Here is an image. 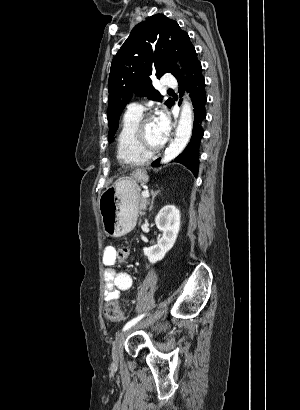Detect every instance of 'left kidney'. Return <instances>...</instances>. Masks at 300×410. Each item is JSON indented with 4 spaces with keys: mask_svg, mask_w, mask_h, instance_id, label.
I'll list each match as a JSON object with an SVG mask.
<instances>
[{
    "mask_svg": "<svg viewBox=\"0 0 300 410\" xmlns=\"http://www.w3.org/2000/svg\"><path fill=\"white\" fill-rule=\"evenodd\" d=\"M180 211L174 205L164 206L155 218L157 228L163 231L157 244L144 247V255L150 263L162 260L166 253L174 246L180 230Z\"/></svg>",
    "mask_w": 300,
    "mask_h": 410,
    "instance_id": "left-kidney-1",
    "label": "left kidney"
}]
</instances>
